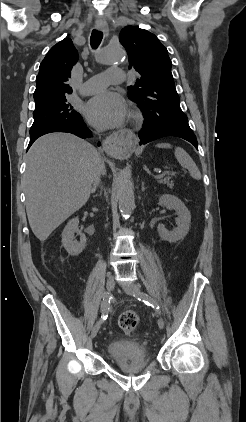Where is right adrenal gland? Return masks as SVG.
<instances>
[{
  "label": "right adrenal gland",
  "instance_id": "right-adrenal-gland-1",
  "mask_svg": "<svg viewBox=\"0 0 246 422\" xmlns=\"http://www.w3.org/2000/svg\"><path fill=\"white\" fill-rule=\"evenodd\" d=\"M101 190H102V187H100V193L99 194H95L94 197L100 195L101 194ZM92 193H93V191H92Z\"/></svg>",
  "mask_w": 246,
  "mask_h": 422
}]
</instances>
